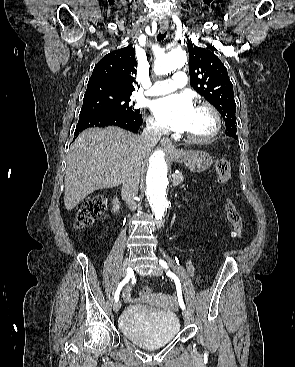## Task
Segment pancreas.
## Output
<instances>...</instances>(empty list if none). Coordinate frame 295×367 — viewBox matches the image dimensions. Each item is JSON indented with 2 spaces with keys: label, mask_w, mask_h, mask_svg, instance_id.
<instances>
[{
  "label": "pancreas",
  "mask_w": 295,
  "mask_h": 367,
  "mask_svg": "<svg viewBox=\"0 0 295 367\" xmlns=\"http://www.w3.org/2000/svg\"><path fill=\"white\" fill-rule=\"evenodd\" d=\"M183 181H184V177L182 173L174 174V176H172V183L174 186L179 185Z\"/></svg>",
  "instance_id": "1"
}]
</instances>
